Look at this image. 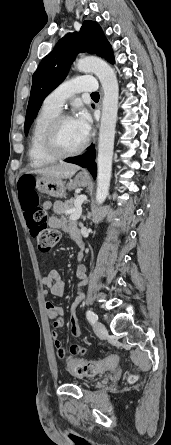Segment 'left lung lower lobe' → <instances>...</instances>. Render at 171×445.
Masks as SVG:
<instances>
[{
	"mask_svg": "<svg viewBox=\"0 0 171 445\" xmlns=\"http://www.w3.org/2000/svg\"><path fill=\"white\" fill-rule=\"evenodd\" d=\"M94 159H95V147L94 145H91L88 147V150L84 154L77 157L68 158L65 161L80 165L81 167L84 168L88 167L90 173L95 179L97 174V166L96 163L94 162Z\"/></svg>",
	"mask_w": 171,
	"mask_h": 445,
	"instance_id": "0a47b994",
	"label": "left lung lower lobe"
}]
</instances>
